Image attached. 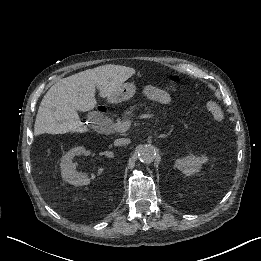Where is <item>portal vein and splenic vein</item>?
Returning <instances> with one entry per match:
<instances>
[{
  "instance_id": "obj_1",
  "label": "portal vein and splenic vein",
  "mask_w": 261,
  "mask_h": 261,
  "mask_svg": "<svg viewBox=\"0 0 261 261\" xmlns=\"http://www.w3.org/2000/svg\"><path fill=\"white\" fill-rule=\"evenodd\" d=\"M156 119V114H151L150 112H146L143 115H141V120H148V119ZM133 123H138V117H133ZM131 127V121H119L115 123L114 130L116 132H126Z\"/></svg>"
}]
</instances>
